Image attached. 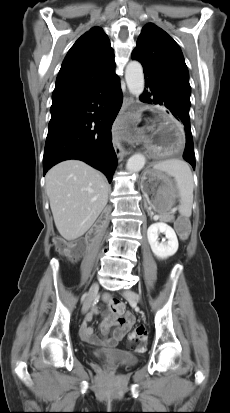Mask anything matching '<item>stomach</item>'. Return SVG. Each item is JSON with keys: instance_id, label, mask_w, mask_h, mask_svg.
I'll list each match as a JSON object with an SVG mask.
<instances>
[{"instance_id": "1", "label": "stomach", "mask_w": 230, "mask_h": 413, "mask_svg": "<svg viewBox=\"0 0 230 413\" xmlns=\"http://www.w3.org/2000/svg\"><path fill=\"white\" fill-rule=\"evenodd\" d=\"M141 190L150 209L162 217L168 214L175 204L177 187L159 170L150 169L143 174Z\"/></svg>"}]
</instances>
